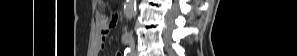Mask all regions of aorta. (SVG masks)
<instances>
[{
    "instance_id": "762f6f07",
    "label": "aorta",
    "mask_w": 297,
    "mask_h": 56,
    "mask_svg": "<svg viewBox=\"0 0 297 56\" xmlns=\"http://www.w3.org/2000/svg\"><path fill=\"white\" fill-rule=\"evenodd\" d=\"M136 0H126L124 5V16L127 20H131L135 15Z\"/></svg>"
}]
</instances>
